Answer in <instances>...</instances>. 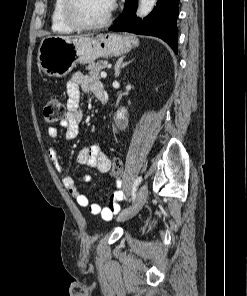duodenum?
I'll return each mask as SVG.
<instances>
[{
	"instance_id": "duodenum-1",
	"label": "duodenum",
	"mask_w": 247,
	"mask_h": 296,
	"mask_svg": "<svg viewBox=\"0 0 247 296\" xmlns=\"http://www.w3.org/2000/svg\"><path fill=\"white\" fill-rule=\"evenodd\" d=\"M96 96L100 100L101 103H103V104L107 103V94L103 88H101L100 90L97 91Z\"/></svg>"
}]
</instances>
